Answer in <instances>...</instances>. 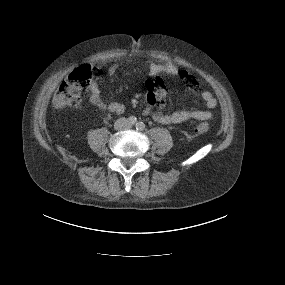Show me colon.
Masks as SVG:
<instances>
[{"mask_svg":"<svg viewBox=\"0 0 285 285\" xmlns=\"http://www.w3.org/2000/svg\"><path fill=\"white\" fill-rule=\"evenodd\" d=\"M93 69L88 64L76 67L59 86L52 100V105L56 109H66L77 107L85 92L90 88V79ZM208 125L200 123L192 128L194 134H203L207 132Z\"/></svg>","mask_w":285,"mask_h":285,"instance_id":"obj_1","label":"colon"}]
</instances>
